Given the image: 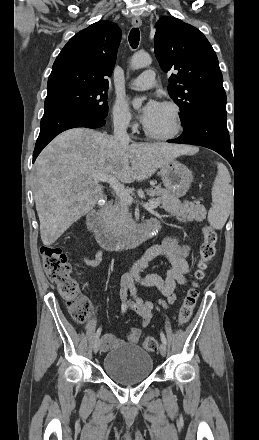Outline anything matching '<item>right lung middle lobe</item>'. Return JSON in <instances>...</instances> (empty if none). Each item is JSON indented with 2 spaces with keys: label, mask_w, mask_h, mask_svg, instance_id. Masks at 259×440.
Segmentation results:
<instances>
[{
  "label": "right lung middle lobe",
  "mask_w": 259,
  "mask_h": 440,
  "mask_svg": "<svg viewBox=\"0 0 259 440\" xmlns=\"http://www.w3.org/2000/svg\"><path fill=\"white\" fill-rule=\"evenodd\" d=\"M107 89L70 88L47 94L44 114L80 111L101 118L108 114Z\"/></svg>",
  "instance_id": "1"
}]
</instances>
